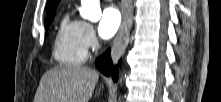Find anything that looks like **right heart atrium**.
Listing matches in <instances>:
<instances>
[{
    "instance_id": "obj_1",
    "label": "right heart atrium",
    "mask_w": 221,
    "mask_h": 102,
    "mask_svg": "<svg viewBox=\"0 0 221 102\" xmlns=\"http://www.w3.org/2000/svg\"><path fill=\"white\" fill-rule=\"evenodd\" d=\"M82 38L87 50L96 46L95 31L91 24L82 22Z\"/></svg>"
}]
</instances>
